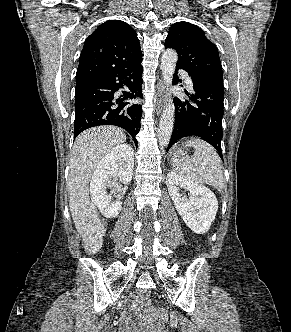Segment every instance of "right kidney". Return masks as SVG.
<instances>
[{"mask_svg":"<svg viewBox=\"0 0 291 332\" xmlns=\"http://www.w3.org/2000/svg\"><path fill=\"white\" fill-rule=\"evenodd\" d=\"M133 165V150L130 146L123 144L105 155L96 167L90 182L91 200L106 218L117 217L122 209L119 197L111 203V195L106 189L116 187L118 179L123 184H129L132 179Z\"/></svg>","mask_w":291,"mask_h":332,"instance_id":"right-kidney-1","label":"right kidney"}]
</instances>
